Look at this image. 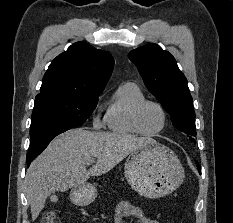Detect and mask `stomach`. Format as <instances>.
I'll return each instance as SVG.
<instances>
[{
	"label": "stomach",
	"instance_id": "0dacf381",
	"mask_svg": "<svg viewBox=\"0 0 233 223\" xmlns=\"http://www.w3.org/2000/svg\"><path fill=\"white\" fill-rule=\"evenodd\" d=\"M124 175L138 195L156 199L176 189L182 183L185 171L173 149L153 141L129 153L124 163ZM97 195L96 185L89 181L70 191L71 201L81 207L90 205Z\"/></svg>",
	"mask_w": 233,
	"mask_h": 223
}]
</instances>
